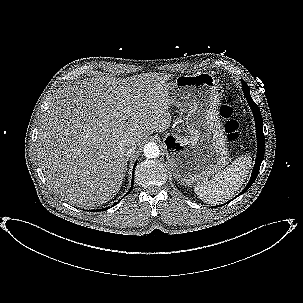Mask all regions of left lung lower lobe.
I'll list each match as a JSON object with an SVG mask.
<instances>
[{
	"instance_id": "left-lung-lower-lobe-1",
	"label": "left lung lower lobe",
	"mask_w": 303,
	"mask_h": 303,
	"mask_svg": "<svg viewBox=\"0 0 303 303\" xmlns=\"http://www.w3.org/2000/svg\"><path fill=\"white\" fill-rule=\"evenodd\" d=\"M242 88H243L244 95L253 111V115H254V119H255V123H256L258 150H257V158H256V162L254 165V169H253L251 178H250L247 186L244 188V190L239 195L245 193L250 188V186L254 183L255 179L257 178V175H258V172H259V169L261 166V162L264 158V147H265V137H264V133H263V120L261 117L260 110H259L257 104L252 100V98L250 96V92H249V87L244 81H242ZM239 195H237V196H239Z\"/></svg>"
}]
</instances>
